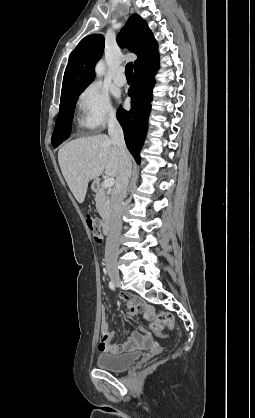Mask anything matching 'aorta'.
Here are the masks:
<instances>
[{
	"label": "aorta",
	"instance_id": "762f6f07",
	"mask_svg": "<svg viewBox=\"0 0 255 418\" xmlns=\"http://www.w3.org/2000/svg\"><path fill=\"white\" fill-rule=\"evenodd\" d=\"M104 69H105V67H104V63H103L102 61H100V62L97 64L96 69H95L96 74H97V75H101V74H103Z\"/></svg>",
	"mask_w": 255,
	"mask_h": 418
}]
</instances>
